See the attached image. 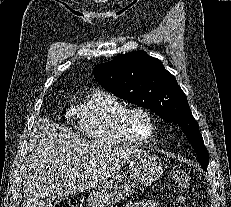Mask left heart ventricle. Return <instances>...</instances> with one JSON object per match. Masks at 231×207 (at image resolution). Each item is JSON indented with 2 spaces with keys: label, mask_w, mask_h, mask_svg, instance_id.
Masks as SVG:
<instances>
[{
  "label": "left heart ventricle",
  "mask_w": 231,
  "mask_h": 207,
  "mask_svg": "<svg viewBox=\"0 0 231 207\" xmlns=\"http://www.w3.org/2000/svg\"><path fill=\"white\" fill-rule=\"evenodd\" d=\"M135 129L141 136H147L150 132V123L147 117L141 113H135L132 116Z\"/></svg>",
  "instance_id": "obj_1"
}]
</instances>
